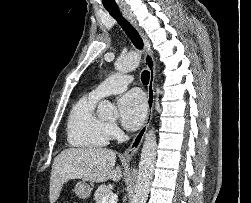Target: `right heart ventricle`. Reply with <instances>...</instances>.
Segmentation results:
<instances>
[{
	"label": "right heart ventricle",
	"instance_id": "obj_1",
	"mask_svg": "<svg viewBox=\"0 0 251 203\" xmlns=\"http://www.w3.org/2000/svg\"><path fill=\"white\" fill-rule=\"evenodd\" d=\"M98 98L90 93L81 97L73 106L67 123L68 141L80 148H101L107 145V124L96 115Z\"/></svg>",
	"mask_w": 251,
	"mask_h": 203
}]
</instances>
